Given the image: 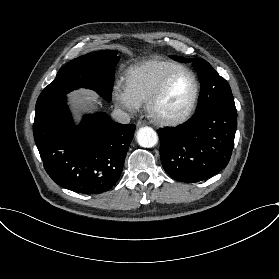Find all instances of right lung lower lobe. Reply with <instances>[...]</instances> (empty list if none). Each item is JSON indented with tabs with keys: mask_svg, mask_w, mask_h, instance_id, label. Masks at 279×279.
Wrapping results in <instances>:
<instances>
[{
	"mask_svg": "<svg viewBox=\"0 0 279 279\" xmlns=\"http://www.w3.org/2000/svg\"><path fill=\"white\" fill-rule=\"evenodd\" d=\"M135 125L112 121L104 112L74 126L62 96L36 109L34 140L44 168L59 186L93 195L118 181Z\"/></svg>",
	"mask_w": 279,
	"mask_h": 279,
	"instance_id": "obj_1",
	"label": "right lung lower lobe"
}]
</instances>
